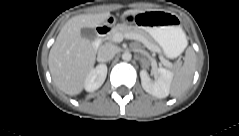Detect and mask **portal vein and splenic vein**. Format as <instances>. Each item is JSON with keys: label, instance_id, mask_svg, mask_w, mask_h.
Segmentation results:
<instances>
[{"label": "portal vein and splenic vein", "instance_id": "portal-vein-and-splenic-vein-1", "mask_svg": "<svg viewBox=\"0 0 239 136\" xmlns=\"http://www.w3.org/2000/svg\"><path fill=\"white\" fill-rule=\"evenodd\" d=\"M124 38L133 39V40H139V41H141L143 44H145V46H146L149 50L154 51V49L149 45V43L147 42L146 39H144L142 36L136 35V34H125V35H122V34L118 33V34H115V35H114L113 41L116 42V43H120V42H122V40H123ZM163 63H164V65H166V66H171V63L168 62V61H163Z\"/></svg>", "mask_w": 239, "mask_h": 136}]
</instances>
